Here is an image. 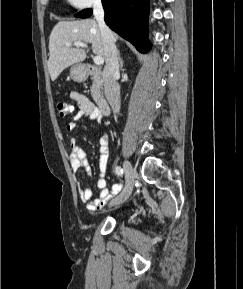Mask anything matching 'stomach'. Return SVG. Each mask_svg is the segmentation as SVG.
Listing matches in <instances>:
<instances>
[{"label": "stomach", "instance_id": "0dacf381", "mask_svg": "<svg viewBox=\"0 0 243 289\" xmlns=\"http://www.w3.org/2000/svg\"><path fill=\"white\" fill-rule=\"evenodd\" d=\"M70 76L74 81L82 82L86 79L87 73L83 65L77 64L71 67Z\"/></svg>", "mask_w": 243, "mask_h": 289}]
</instances>
